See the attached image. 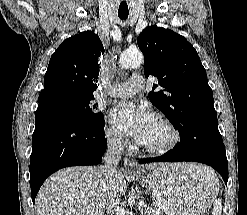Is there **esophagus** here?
I'll list each match as a JSON object with an SVG mask.
<instances>
[{
    "label": "esophagus",
    "mask_w": 247,
    "mask_h": 215,
    "mask_svg": "<svg viewBox=\"0 0 247 215\" xmlns=\"http://www.w3.org/2000/svg\"><path fill=\"white\" fill-rule=\"evenodd\" d=\"M125 167L129 172H138L140 170L139 165L133 159L125 161Z\"/></svg>",
    "instance_id": "1"
}]
</instances>
